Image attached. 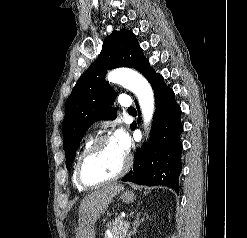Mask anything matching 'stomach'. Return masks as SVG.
Wrapping results in <instances>:
<instances>
[{"mask_svg":"<svg viewBox=\"0 0 247 238\" xmlns=\"http://www.w3.org/2000/svg\"><path fill=\"white\" fill-rule=\"evenodd\" d=\"M144 194L146 195L147 193L144 192ZM136 196L133 192L131 191H125L121 196L120 199L124 202V203H132L135 200Z\"/></svg>","mask_w":247,"mask_h":238,"instance_id":"0dacf381","label":"stomach"}]
</instances>
